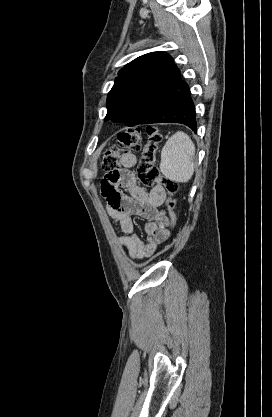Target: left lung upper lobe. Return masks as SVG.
<instances>
[{"label":"left lung upper lobe","instance_id":"left-lung-upper-lobe-1","mask_svg":"<svg viewBox=\"0 0 272 417\" xmlns=\"http://www.w3.org/2000/svg\"><path fill=\"white\" fill-rule=\"evenodd\" d=\"M107 97L105 121L141 124L173 89L180 71L164 52L142 55L122 68Z\"/></svg>","mask_w":272,"mask_h":417}]
</instances>
